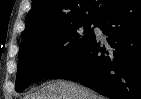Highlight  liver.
Returning <instances> with one entry per match:
<instances>
[{
  "label": "liver",
  "instance_id": "obj_1",
  "mask_svg": "<svg viewBox=\"0 0 141 99\" xmlns=\"http://www.w3.org/2000/svg\"><path fill=\"white\" fill-rule=\"evenodd\" d=\"M25 99H105L80 84L56 80L49 82Z\"/></svg>",
  "mask_w": 141,
  "mask_h": 99
}]
</instances>
